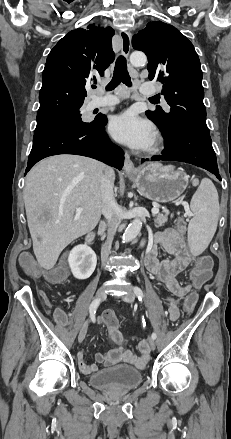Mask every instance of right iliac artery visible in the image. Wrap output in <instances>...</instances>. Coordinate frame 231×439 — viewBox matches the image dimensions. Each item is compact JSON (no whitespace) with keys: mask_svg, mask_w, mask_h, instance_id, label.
I'll use <instances>...</instances> for the list:
<instances>
[{"mask_svg":"<svg viewBox=\"0 0 231 439\" xmlns=\"http://www.w3.org/2000/svg\"><path fill=\"white\" fill-rule=\"evenodd\" d=\"M99 303H100V301H98V300L92 301V303L90 304V307H89L91 313H93V312L95 313V310L98 307Z\"/></svg>","mask_w":231,"mask_h":439,"instance_id":"obj_1","label":"right iliac artery"}]
</instances>
